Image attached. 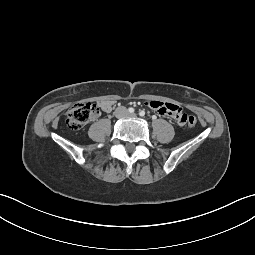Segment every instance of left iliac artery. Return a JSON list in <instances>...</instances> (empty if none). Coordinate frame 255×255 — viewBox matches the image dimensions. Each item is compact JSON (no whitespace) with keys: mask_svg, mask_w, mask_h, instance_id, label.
I'll return each instance as SVG.
<instances>
[{"mask_svg":"<svg viewBox=\"0 0 255 255\" xmlns=\"http://www.w3.org/2000/svg\"><path fill=\"white\" fill-rule=\"evenodd\" d=\"M139 115L143 117V116L145 115V111H144V110H141V111L139 112Z\"/></svg>","mask_w":255,"mask_h":255,"instance_id":"left-iliac-artery-1","label":"left iliac artery"}]
</instances>
